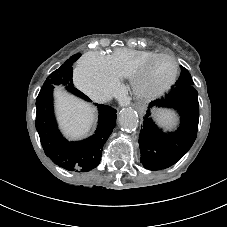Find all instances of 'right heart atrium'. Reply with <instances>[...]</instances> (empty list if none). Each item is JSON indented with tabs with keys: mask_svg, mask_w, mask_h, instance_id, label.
Returning a JSON list of instances; mask_svg holds the SVG:
<instances>
[{
	"mask_svg": "<svg viewBox=\"0 0 227 227\" xmlns=\"http://www.w3.org/2000/svg\"><path fill=\"white\" fill-rule=\"evenodd\" d=\"M75 81L85 94L98 101L113 95L120 84L107 57L95 51L81 58L75 71Z\"/></svg>",
	"mask_w": 227,
	"mask_h": 227,
	"instance_id": "right-heart-atrium-1",
	"label": "right heart atrium"
}]
</instances>
